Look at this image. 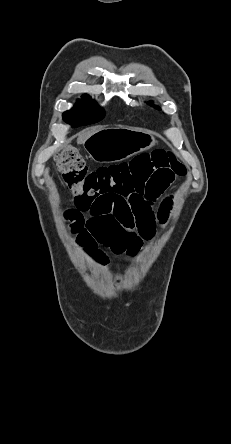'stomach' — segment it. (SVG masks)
Returning a JSON list of instances; mask_svg holds the SVG:
<instances>
[{"mask_svg": "<svg viewBox=\"0 0 231 444\" xmlns=\"http://www.w3.org/2000/svg\"><path fill=\"white\" fill-rule=\"evenodd\" d=\"M154 135L145 129L116 127L102 129L85 142L89 156L97 162H118L154 146Z\"/></svg>", "mask_w": 231, "mask_h": 444, "instance_id": "0dacf381", "label": "stomach"}]
</instances>
